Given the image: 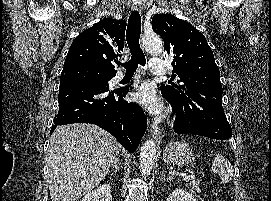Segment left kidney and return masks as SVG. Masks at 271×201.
Wrapping results in <instances>:
<instances>
[{
  "mask_svg": "<svg viewBox=\"0 0 271 201\" xmlns=\"http://www.w3.org/2000/svg\"><path fill=\"white\" fill-rule=\"evenodd\" d=\"M167 201H196V199L189 192L176 189L169 195Z\"/></svg>",
  "mask_w": 271,
  "mask_h": 201,
  "instance_id": "5707ae66",
  "label": "left kidney"
}]
</instances>
